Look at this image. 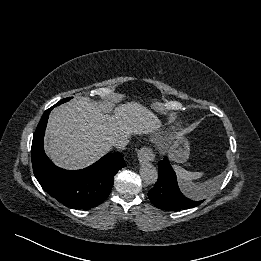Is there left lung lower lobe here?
Returning a JSON list of instances; mask_svg holds the SVG:
<instances>
[{
	"mask_svg": "<svg viewBox=\"0 0 261 261\" xmlns=\"http://www.w3.org/2000/svg\"><path fill=\"white\" fill-rule=\"evenodd\" d=\"M158 180L148 192L151 202L159 209L178 211L198 206L203 201L195 199L194 194L179 188L177 177L168 159L158 163Z\"/></svg>",
	"mask_w": 261,
	"mask_h": 261,
	"instance_id": "1",
	"label": "left lung lower lobe"
}]
</instances>
